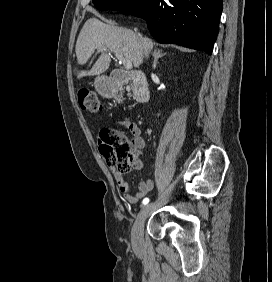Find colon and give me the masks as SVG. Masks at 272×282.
Here are the masks:
<instances>
[{
    "instance_id": "colon-1",
    "label": "colon",
    "mask_w": 272,
    "mask_h": 282,
    "mask_svg": "<svg viewBox=\"0 0 272 282\" xmlns=\"http://www.w3.org/2000/svg\"><path fill=\"white\" fill-rule=\"evenodd\" d=\"M78 103L81 109L89 112H99L102 109L97 95L88 88L78 92ZM100 153L106 163L124 174L130 171L135 159V152L131 143L120 132L103 128L98 134Z\"/></svg>"
}]
</instances>
